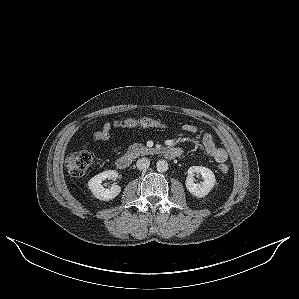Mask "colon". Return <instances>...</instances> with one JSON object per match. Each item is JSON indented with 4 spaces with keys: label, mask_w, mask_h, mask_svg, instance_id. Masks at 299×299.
<instances>
[{
    "label": "colon",
    "mask_w": 299,
    "mask_h": 299,
    "mask_svg": "<svg viewBox=\"0 0 299 299\" xmlns=\"http://www.w3.org/2000/svg\"><path fill=\"white\" fill-rule=\"evenodd\" d=\"M114 125L119 128H133L136 126L145 128H165V125L160 120L150 117L139 119L124 117L116 120ZM93 164L94 157L86 148L70 154L66 160L68 172L74 177L85 175ZM219 169L222 173H227L229 167L226 164H221Z\"/></svg>",
    "instance_id": "colon-1"
}]
</instances>
